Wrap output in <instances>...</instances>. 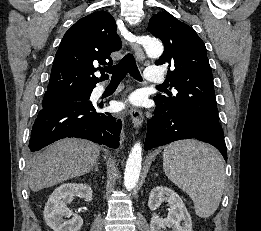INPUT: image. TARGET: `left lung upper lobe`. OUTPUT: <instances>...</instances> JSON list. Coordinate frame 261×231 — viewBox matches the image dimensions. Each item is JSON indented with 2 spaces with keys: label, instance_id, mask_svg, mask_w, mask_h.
<instances>
[{
  "label": "left lung upper lobe",
  "instance_id": "left-lung-upper-lobe-1",
  "mask_svg": "<svg viewBox=\"0 0 261 231\" xmlns=\"http://www.w3.org/2000/svg\"><path fill=\"white\" fill-rule=\"evenodd\" d=\"M150 32L162 40L164 52L155 62L166 64L174 93L157 95L154 101L171 110H183L223 132L215 101L213 76L205 44L187 24L170 13L160 12L149 21Z\"/></svg>",
  "mask_w": 261,
  "mask_h": 231
}]
</instances>
